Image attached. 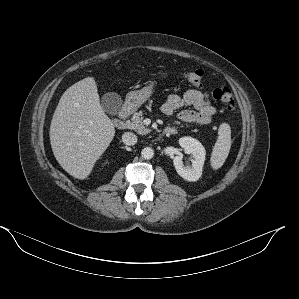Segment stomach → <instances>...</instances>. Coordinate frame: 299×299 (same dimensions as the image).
Wrapping results in <instances>:
<instances>
[{
  "label": "stomach",
  "mask_w": 299,
  "mask_h": 299,
  "mask_svg": "<svg viewBox=\"0 0 299 299\" xmlns=\"http://www.w3.org/2000/svg\"><path fill=\"white\" fill-rule=\"evenodd\" d=\"M167 73H160L159 78H166ZM156 81H150V83L140 90L132 91L128 93L126 98V108L129 110L138 109L143 103H145L153 94Z\"/></svg>",
  "instance_id": "1"
}]
</instances>
